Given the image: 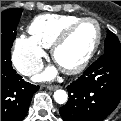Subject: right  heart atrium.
<instances>
[{"label": "right heart atrium", "mask_w": 121, "mask_h": 121, "mask_svg": "<svg viewBox=\"0 0 121 121\" xmlns=\"http://www.w3.org/2000/svg\"><path fill=\"white\" fill-rule=\"evenodd\" d=\"M45 54L44 48L32 37L22 34L14 40L12 61L22 75L30 76L39 71Z\"/></svg>", "instance_id": "obj_1"}]
</instances>
